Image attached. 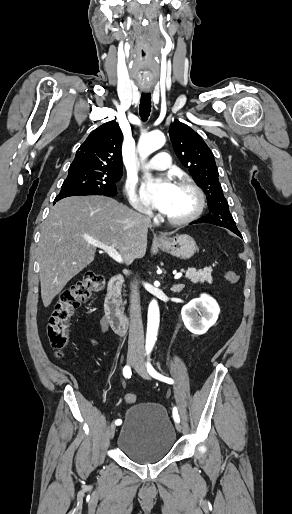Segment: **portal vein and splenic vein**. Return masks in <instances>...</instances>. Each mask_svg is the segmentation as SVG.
Returning a JSON list of instances; mask_svg holds the SVG:
<instances>
[{"mask_svg":"<svg viewBox=\"0 0 292 514\" xmlns=\"http://www.w3.org/2000/svg\"><path fill=\"white\" fill-rule=\"evenodd\" d=\"M93 246H97V248H101V250H104L110 258H113V260H116V262H123L122 256H120L119 252L115 250V248H112V246H104V244H94V242H91ZM182 274H175L174 278L175 280H178V278H181Z\"/></svg>","mask_w":292,"mask_h":514,"instance_id":"18ae733b","label":"portal vein and splenic vein"}]
</instances>
